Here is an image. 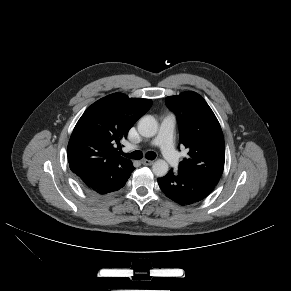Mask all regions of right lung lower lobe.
Wrapping results in <instances>:
<instances>
[{
	"instance_id": "1",
	"label": "right lung lower lobe",
	"mask_w": 291,
	"mask_h": 291,
	"mask_svg": "<svg viewBox=\"0 0 291 291\" xmlns=\"http://www.w3.org/2000/svg\"><path fill=\"white\" fill-rule=\"evenodd\" d=\"M135 168L110 165L93 170L79 178L82 188L92 196L112 193L122 188Z\"/></svg>"
}]
</instances>
